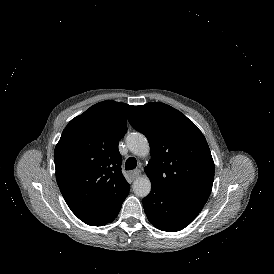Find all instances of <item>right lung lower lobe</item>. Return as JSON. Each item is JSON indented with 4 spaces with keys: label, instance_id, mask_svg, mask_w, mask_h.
Returning a JSON list of instances; mask_svg holds the SVG:
<instances>
[{
    "label": "right lung lower lobe",
    "instance_id": "right-lung-lower-lobe-1",
    "mask_svg": "<svg viewBox=\"0 0 274 274\" xmlns=\"http://www.w3.org/2000/svg\"><path fill=\"white\" fill-rule=\"evenodd\" d=\"M128 193H129V192H127L126 195H125V196L122 198V200L119 202V204L117 205L116 209L114 210V212H113V214L111 215V217H110V219L108 220V222L113 221L114 218L118 215V213H119V211H120V208H121V205H122L124 199L127 197ZM108 222H107V223H108ZM107 223H105V224H107ZM105 224H103V225H105ZM100 226H102V225H100Z\"/></svg>",
    "mask_w": 274,
    "mask_h": 274
}]
</instances>
